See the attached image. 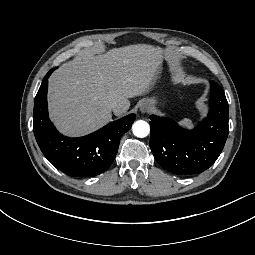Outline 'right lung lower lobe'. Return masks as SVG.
<instances>
[{
	"label": "right lung lower lobe",
	"mask_w": 255,
	"mask_h": 255,
	"mask_svg": "<svg viewBox=\"0 0 255 255\" xmlns=\"http://www.w3.org/2000/svg\"><path fill=\"white\" fill-rule=\"evenodd\" d=\"M47 73L35 97L33 126L36 141L50 163L58 170L75 177H92L106 171L115 159L121 137L136 118L130 114L98 131L79 138L61 135L48 117Z\"/></svg>",
	"instance_id": "1"
}]
</instances>
